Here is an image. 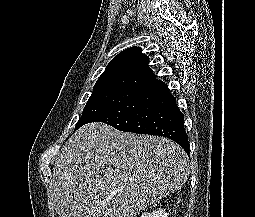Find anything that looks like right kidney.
Here are the masks:
<instances>
[{
    "instance_id": "ca27d5eb",
    "label": "right kidney",
    "mask_w": 255,
    "mask_h": 217,
    "mask_svg": "<svg viewBox=\"0 0 255 217\" xmlns=\"http://www.w3.org/2000/svg\"><path fill=\"white\" fill-rule=\"evenodd\" d=\"M141 217H168V214L163 209H158L153 211L152 213L145 212L141 215Z\"/></svg>"
}]
</instances>
